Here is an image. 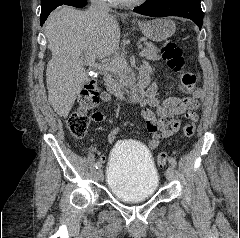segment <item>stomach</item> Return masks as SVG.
Instances as JSON below:
<instances>
[{
	"label": "stomach",
	"instance_id": "stomach-1",
	"mask_svg": "<svg viewBox=\"0 0 240 238\" xmlns=\"http://www.w3.org/2000/svg\"><path fill=\"white\" fill-rule=\"evenodd\" d=\"M143 35L159 42L172 36L176 30L174 21L167 18H156L150 21L139 22Z\"/></svg>",
	"mask_w": 240,
	"mask_h": 238
}]
</instances>
